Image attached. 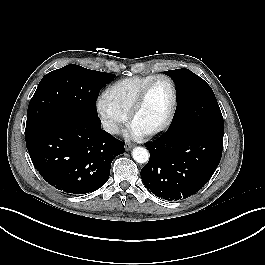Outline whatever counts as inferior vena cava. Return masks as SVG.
Wrapping results in <instances>:
<instances>
[{
    "label": "inferior vena cava",
    "instance_id": "1",
    "mask_svg": "<svg viewBox=\"0 0 265 265\" xmlns=\"http://www.w3.org/2000/svg\"><path fill=\"white\" fill-rule=\"evenodd\" d=\"M103 129L111 134H118L119 133V127L117 124L111 122V121H103L102 122Z\"/></svg>",
    "mask_w": 265,
    "mask_h": 265
}]
</instances>
